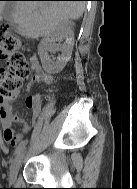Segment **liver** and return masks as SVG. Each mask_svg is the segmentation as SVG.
Instances as JSON below:
<instances>
[{"label": "liver", "mask_w": 137, "mask_h": 189, "mask_svg": "<svg viewBox=\"0 0 137 189\" xmlns=\"http://www.w3.org/2000/svg\"><path fill=\"white\" fill-rule=\"evenodd\" d=\"M6 3L0 2V21ZM84 1H17L12 14L18 33L27 38L47 36L69 19L83 15Z\"/></svg>", "instance_id": "obj_1"}]
</instances>
